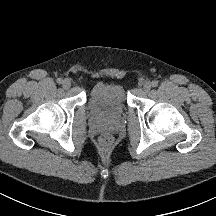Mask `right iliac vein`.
I'll return each instance as SVG.
<instances>
[{
  "mask_svg": "<svg viewBox=\"0 0 216 216\" xmlns=\"http://www.w3.org/2000/svg\"><path fill=\"white\" fill-rule=\"evenodd\" d=\"M63 88L68 89L71 86V82L69 79H64L62 83Z\"/></svg>",
  "mask_w": 216,
  "mask_h": 216,
  "instance_id": "right-iliac-vein-1",
  "label": "right iliac vein"
}]
</instances>
